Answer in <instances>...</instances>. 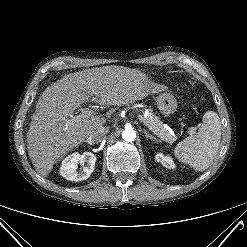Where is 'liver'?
Instances as JSON below:
<instances>
[{
	"label": "liver",
	"mask_w": 247,
	"mask_h": 247,
	"mask_svg": "<svg viewBox=\"0 0 247 247\" xmlns=\"http://www.w3.org/2000/svg\"><path fill=\"white\" fill-rule=\"evenodd\" d=\"M166 88L144 73L122 66H106L75 72L48 86L37 102L27 133L29 158L36 171L47 177L53 165L106 123L101 116L70 121L89 97L100 105L120 106L142 100Z\"/></svg>",
	"instance_id": "1"
}]
</instances>
